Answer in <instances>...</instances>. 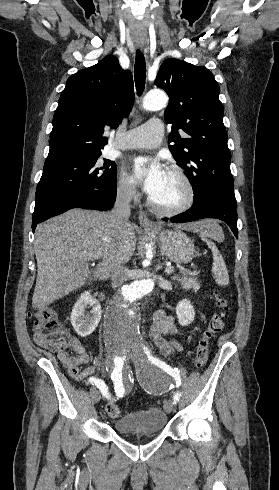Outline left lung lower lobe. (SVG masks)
I'll return each instance as SVG.
<instances>
[{
	"mask_svg": "<svg viewBox=\"0 0 279 490\" xmlns=\"http://www.w3.org/2000/svg\"><path fill=\"white\" fill-rule=\"evenodd\" d=\"M236 208L234 194L217 189H208L203 191L197 200H194L191 209L172 217L170 220L174 223H184L203 218H217L227 223L238 238Z\"/></svg>",
	"mask_w": 279,
	"mask_h": 490,
	"instance_id": "0a47b994",
	"label": "left lung lower lobe"
}]
</instances>
